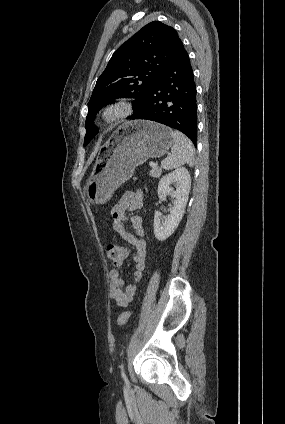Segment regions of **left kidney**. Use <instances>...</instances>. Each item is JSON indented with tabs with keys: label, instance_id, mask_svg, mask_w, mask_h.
Returning <instances> with one entry per match:
<instances>
[{
	"label": "left kidney",
	"instance_id": "obj_1",
	"mask_svg": "<svg viewBox=\"0 0 285 424\" xmlns=\"http://www.w3.org/2000/svg\"><path fill=\"white\" fill-rule=\"evenodd\" d=\"M175 185L176 190L170 187ZM191 188V177L185 167H180L160 180L158 184V196L170 195L174 198L173 205L167 217H162L159 211L154 215V234L159 241L166 240L178 227L185 211L188 195Z\"/></svg>",
	"mask_w": 285,
	"mask_h": 424
}]
</instances>
